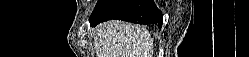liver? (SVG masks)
I'll list each match as a JSON object with an SVG mask.
<instances>
[{
	"label": "liver",
	"instance_id": "obj_1",
	"mask_svg": "<svg viewBox=\"0 0 249 57\" xmlns=\"http://www.w3.org/2000/svg\"><path fill=\"white\" fill-rule=\"evenodd\" d=\"M96 31L97 57H152L153 40L144 27L108 21L100 24Z\"/></svg>",
	"mask_w": 249,
	"mask_h": 57
}]
</instances>
